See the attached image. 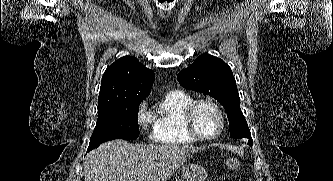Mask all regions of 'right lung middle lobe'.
<instances>
[{"label": "right lung middle lobe", "instance_id": "1", "mask_svg": "<svg viewBox=\"0 0 333 181\" xmlns=\"http://www.w3.org/2000/svg\"><path fill=\"white\" fill-rule=\"evenodd\" d=\"M140 103L134 101L98 109V119L88 149L92 150L109 140L136 139L139 135L137 114Z\"/></svg>", "mask_w": 333, "mask_h": 181}]
</instances>
